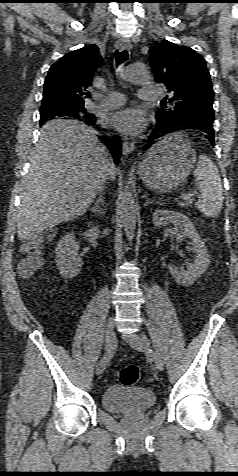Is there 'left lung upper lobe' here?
Masks as SVG:
<instances>
[{"mask_svg":"<svg viewBox=\"0 0 238 476\" xmlns=\"http://www.w3.org/2000/svg\"><path fill=\"white\" fill-rule=\"evenodd\" d=\"M150 65L158 83H163L174 106H163L157 120L200 115L213 119L214 91L205 60L193 49L167 40L149 50Z\"/></svg>","mask_w":238,"mask_h":476,"instance_id":"obj_1","label":"left lung upper lobe"}]
</instances>
